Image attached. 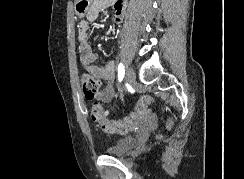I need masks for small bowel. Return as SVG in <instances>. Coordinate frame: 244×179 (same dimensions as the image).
Listing matches in <instances>:
<instances>
[{
	"label": "small bowel",
	"instance_id": "small-bowel-1",
	"mask_svg": "<svg viewBox=\"0 0 244 179\" xmlns=\"http://www.w3.org/2000/svg\"><path fill=\"white\" fill-rule=\"evenodd\" d=\"M111 6L114 11V21L120 25L125 19V7L120 1L110 0H92L87 7L89 12L87 18H79L78 25V42L80 46V60L83 68L102 79L105 82V86L98 93L97 98L105 103H111L114 96L113 83L115 81V69L116 63L114 60L107 61L104 65L95 64L97 53L89 43L90 39V25L97 19L100 12ZM132 116H138L136 126L130 127L131 130L137 127L139 124L144 126H154V116H150L148 112H142L140 114H133Z\"/></svg>",
	"mask_w": 244,
	"mask_h": 179
}]
</instances>
